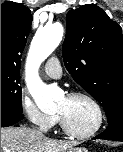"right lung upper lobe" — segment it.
<instances>
[{
    "label": "right lung upper lobe",
    "mask_w": 123,
    "mask_h": 152,
    "mask_svg": "<svg viewBox=\"0 0 123 152\" xmlns=\"http://www.w3.org/2000/svg\"><path fill=\"white\" fill-rule=\"evenodd\" d=\"M31 22V11L23 4L12 1L1 4V69L20 71Z\"/></svg>",
    "instance_id": "obj_1"
}]
</instances>
